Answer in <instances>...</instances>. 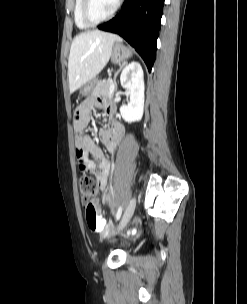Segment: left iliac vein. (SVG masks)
I'll list each match as a JSON object with an SVG mask.
<instances>
[{"label":"left iliac vein","instance_id":"4c4485c4","mask_svg":"<svg viewBox=\"0 0 247 304\" xmlns=\"http://www.w3.org/2000/svg\"><path fill=\"white\" fill-rule=\"evenodd\" d=\"M135 206H136V199L133 197L130 200V202H129V204H128V206H127V208H126V210H125V212H124V214L121 218V221L119 223V226H118V229H117L116 233L122 231L126 227V225L129 223V221H130V219H131V217L134 213Z\"/></svg>","mask_w":247,"mask_h":304}]
</instances>
